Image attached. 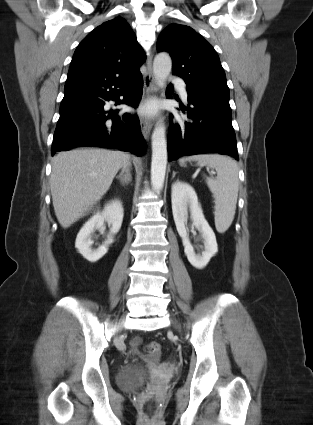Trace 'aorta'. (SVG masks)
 <instances>
[{
	"label": "aorta",
	"mask_w": 313,
	"mask_h": 425,
	"mask_svg": "<svg viewBox=\"0 0 313 425\" xmlns=\"http://www.w3.org/2000/svg\"><path fill=\"white\" fill-rule=\"evenodd\" d=\"M172 69V60L169 54L158 53L153 62V74L159 87H164ZM167 142L165 127L158 123L152 133V162L151 183L156 192H160L164 186L167 166Z\"/></svg>",
	"instance_id": "obj_1"
}]
</instances>
